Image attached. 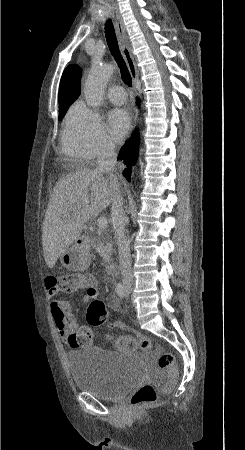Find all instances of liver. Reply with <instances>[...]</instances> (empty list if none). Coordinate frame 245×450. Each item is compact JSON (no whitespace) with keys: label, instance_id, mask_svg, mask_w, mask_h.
I'll return each instance as SVG.
<instances>
[{"label":"liver","instance_id":"liver-1","mask_svg":"<svg viewBox=\"0 0 245 450\" xmlns=\"http://www.w3.org/2000/svg\"><path fill=\"white\" fill-rule=\"evenodd\" d=\"M113 196L114 185L98 169H77L58 180L42 226L44 259L49 268L80 237L84 224L110 205Z\"/></svg>","mask_w":245,"mask_h":450}]
</instances>
